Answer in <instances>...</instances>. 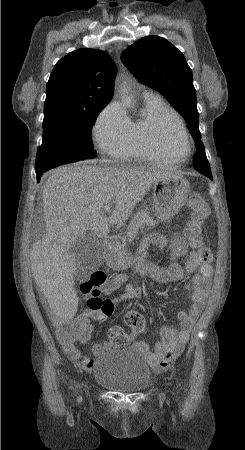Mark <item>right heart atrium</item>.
Returning a JSON list of instances; mask_svg holds the SVG:
<instances>
[{"label": "right heart atrium", "instance_id": "d8ad5b80", "mask_svg": "<svg viewBox=\"0 0 245 450\" xmlns=\"http://www.w3.org/2000/svg\"><path fill=\"white\" fill-rule=\"evenodd\" d=\"M92 135L95 145L106 157L119 161L129 157L132 121L120 103L112 101L100 112Z\"/></svg>", "mask_w": 245, "mask_h": 450}]
</instances>
